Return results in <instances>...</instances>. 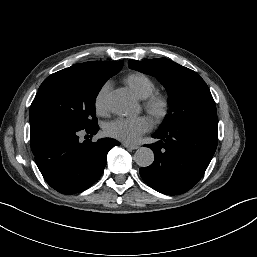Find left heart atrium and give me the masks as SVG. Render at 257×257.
<instances>
[{
    "mask_svg": "<svg viewBox=\"0 0 257 257\" xmlns=\"http://www.w3.org/2000/svg\"><path fill=\"white\" fill-rule=\"evenodd\" d=\"M153 128V121L148 116L136 118H117L105 125V133L114 139L133 144Z\"/></svg>",
    "mask_w": 257,
    "mask_h": 257,
    "instance_id": "39dd6f15",
    "label": "left heart atrium"
}]
</instances>
